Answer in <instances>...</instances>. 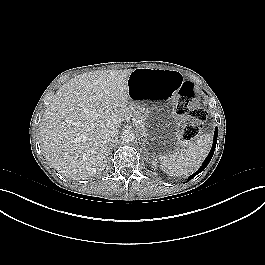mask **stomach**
I'll use <instances>...</instances> for the list:
<instances>
[{
	"label": "stomach",
	"instance_id": "obj_1",
	"mask_svg": "<svg viewBox=\"0 0 265 265\" xmlns=\"http://www.w3.org/2000/svg\"><path fill=\"white\" fill-rule=\"evenodd\" d=\"M181 75L164 69H134L128 78V117L138 135L141 150L150 158H168L178 147L174 107Z\"/></svg>",
	"mask_w": 265,
	"mask_h": 265
}]
</instances>
